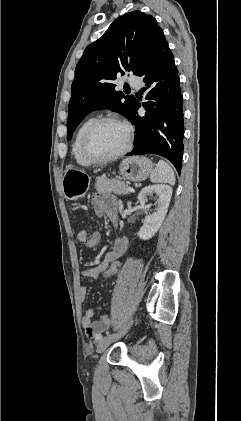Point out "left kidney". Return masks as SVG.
I'll return each instance as SVG.
<instances>
[{
  "label": "left kidney",
  "instance_id": "obj_1",
  "mask_svg": "<svg viewBox=\"0 0 241 421\" xmlns=\"http://www.w3.org/2000/svg\"><path fill=\"white\" fill-rule=\"evenodd\" d=\"M153 194L158 196L157 207L154 212L145 216L143 226L137 233L138 237L142 240H148L152 238L161 227L168 211L172 196V188L168 185L162 184L146 186L138 195V201L140 202L141 206L144 207L147 198L149 196H153Z\"/></svg>",
  "mask_w": 241,
  "mask_h": 421
}]
</instances>
